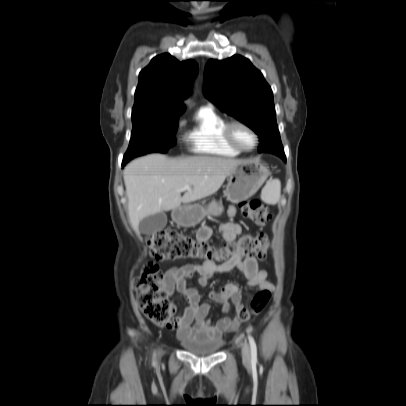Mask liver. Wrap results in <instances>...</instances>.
<instances>
[{
  "instance_id": "1",
  "label": "liver",
  "mask_w": 406,
  "mask_h": 406,
  "mask_svg": "<svg viewBox=\"0 0 406 406\" xmlns=\"http://www.w3.org/2000/svg\"><path fill=\"white\" fill-rule=\"evenodd\" d=\"M243 160L192 156L180 159L162 154L137 158L124 169L129 220L137 230L147 216L174 210L216 193ZM190 190L181 196L182 188Z\"/></svg>"
}]
</instances>
